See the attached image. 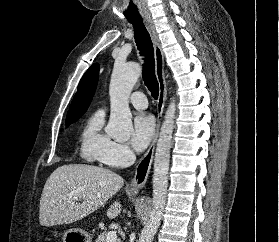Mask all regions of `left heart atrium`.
Wrapping results in <instances>:
<instances>
[{
	"label": "left heart atrium",
	"instance_id": "39dd6f15",
	"mask_svg": "<svg viewBox=\"0 0 279 242\" xmlns=\"http://www.w3.org/2000/svg\"><path fill=\"white\" fill-rule=\"evenodd\" d=\"M155 133V121L147 113H139L133 122V132L131 136L132 147L138 151H143L151 142Z\"/></svg>",
	"mask_w": 279,
	"mask_h": 242
}]
</instances>
